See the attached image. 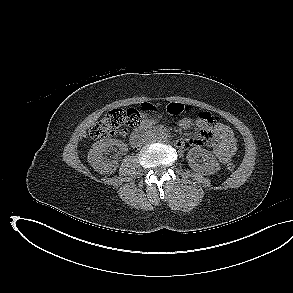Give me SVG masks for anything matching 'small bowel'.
I'll use <instances>...</instances> for the list:
<instances>
[{
	"mask_svg": "<svg viewBox=\"0 0 293 293\" xmlns=\"http://www.w3.org/2000/svg\"><path fill=\"white\" fill-rule=\"evenodd\" d=\"M142 109L145 112L155 111V107L150 103H144ZM155 121L154 118L146 115L142 124L151 126ZM179 124L183 129H188L191 127L192 121L189 118H183ZM195 124L198 128V133L179 140V148L184 149L190 146L207 144L212 148L215 156L221 163L225 164L230 161L236 151V139L230 128L218 121H208L201 117L200 114Z\"/></svg>",
	"mask_w": 293,
	"mask_h": 293,
	"instance_id": "small-bowel-1",
	"label": "small bowel"
}]
</instances>
